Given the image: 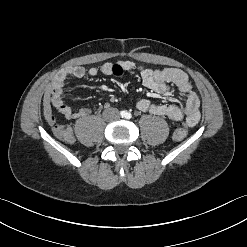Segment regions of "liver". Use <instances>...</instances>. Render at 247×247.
Returning a JSON list of instances; mask_svg holds the SVG:
<instances>
[{"instance_id": "liver-1", "label": "liver", "mask_w": 247, "mask_h": 247, "mask_svg": "<svg viewBox=\"0 0 247 247\" xmlns=\"http://www.w3.org/2000/svg\"><path fill=\"white\" fill-rule=\"evenodd\" d=\"M50 87L46 90L43 98V106H44V117L49 122L52 116V110L50 105Z\"/></svg>"}]
</instances>
